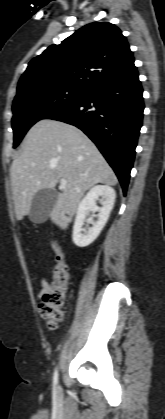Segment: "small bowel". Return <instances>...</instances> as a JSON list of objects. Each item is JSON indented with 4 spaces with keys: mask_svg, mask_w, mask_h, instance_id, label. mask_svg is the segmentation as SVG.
I'll use <instances>...</instances> for the list:
<instances>
[{
    "mask_svg": "<svg viewBox=\"0 0 165 419\" xmlns=\"http://www.w3.org/2000/svg\"><path fill=\"white\" fill-rule=\"evenodd\" d=\"M49 287L50 285H49L48 279L46 277L42 278L41 288H40L38 296L39 297L43 296L49 290Z\"/></svg>",
    "mask_w": 165,
    "mask_h": 419,
    "instance_id": "small-bowel-1",
    "label": "small bowel"
}]
</instances>
